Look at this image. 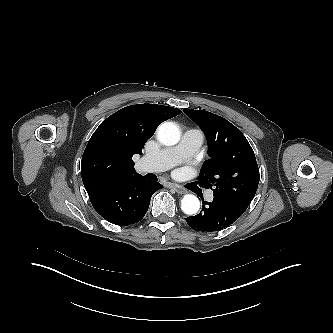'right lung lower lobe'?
Segmentation results:
<instances>
[{
    "label": "right lung lower lobe",
    "instance_id": "right-lung-lower-lobe-1",
    "mask_svg": "<svg viewBox=\"0 0 333 333\" xmlns=\"http://www.w3.org/2000/svg\"><path fill=\"white\" fill-rule=\"evenodd\" d=\"M163 188L158 182L139 177L110 186L90 197L97 211L107 221L120 226L139 222L146 214L152 194Z\"/></svg>",
    "mask_w": 333,
    "mask_h": 333
}]
</instances>
